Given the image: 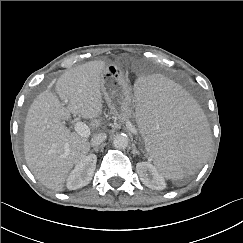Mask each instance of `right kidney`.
Wrapping results in <instances>:
<instances>
[{"mask_svg":"<svg viewBox=\"0 0 243 243\" xmlns=\"http://www.w3.org/2000/svg\"><path fill=\"white\" fill-rule=\"evenodd\" d=\"M97 156L90 154L75 166L67 179V188L76 190L90 183L96 168Z\"/></svg>","mask_w":243,"mask_h":243,"instance_id":"right-kidney-1","label":"right kidney"}]
</instances>
